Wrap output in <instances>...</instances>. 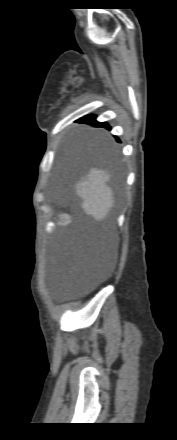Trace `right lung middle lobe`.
Wrapping results in <instances>:
<instances>
[{
    "label": "right lung middle lobe",
    "mask_w": 177,
    "mask_h": 440,
    "mask_svg": "<svg viewBox=\"0 0 177 440\" xmlns=\"http://www.w3.org/2000/svg\"><path fill=\"white\" fill-rule=\"evenodd\" d=\"M90 145H91V146H94L95 148H99L100 143L97 142V141H91V142H90Z\"/></svg>",
    "instance_id": "1"
}]
</instances>
